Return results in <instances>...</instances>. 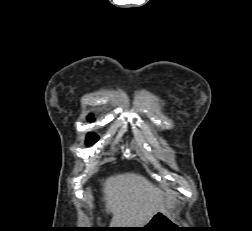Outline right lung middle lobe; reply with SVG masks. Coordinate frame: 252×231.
<instances>
[{
  "label": "right lung middle lobe",
  "mask_w": 252,
  "mask_h": 231,
  "mask_svg": "<svg viewBox=\"0 0 252 231\" xmlns=\"http://www.w3.org/2000/svg\"><path fill=\"white\" fill-rule=\"evenodd\" d=\"M88 119H89L90 121H93V120H94V118L91 117V116H89ZM98 139H99V137H98L97 134L89 133V134L87 135V141H86V143H87L88 145L94 144V143H96V142L98 141Z\"/></svg>",
  "instance_id": "right-lung-middle-lobe-1"
}]
</instances>
